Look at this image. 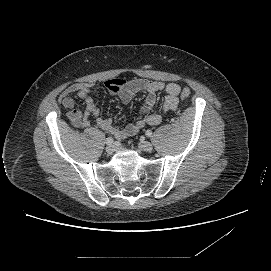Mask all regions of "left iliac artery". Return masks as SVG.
I'll return each instance as SVG.
<instances>
[{
    "label": "left iliac artery",
    "instance_id": "obj_1",
    "mask_svg": "<svg viewBox=\"0 0 271 271\" xmlns=\"http://www.w3.org/2000/svg\"><path fill=\"white\" fill-rule=\"evenodd\" d=\"M146 136L147 137H151L152 136V131L151 130H147L146 131Z\"/></svg>",
    "mask_w": 271,
    "mask_h": 271
}]
</instances>
